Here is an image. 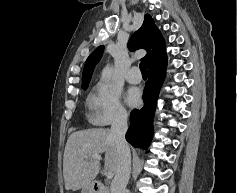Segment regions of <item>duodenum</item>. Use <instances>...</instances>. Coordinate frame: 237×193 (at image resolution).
<instances>
[{"label": "duodenum", "instance_id": "1", "mask_svg": "<svg viewBox=\"0 0 237 193\" xmlns=\"http://www.w3.org/2000/svg\"><path fill=\"white\" fill-rule=\"evenodd\" d=\"M93 189L95 193H107L106 186L101 182H96Z\"/></svg>", "mask_w": 237, "mask_h": 193}]
</instances>
